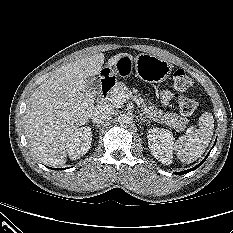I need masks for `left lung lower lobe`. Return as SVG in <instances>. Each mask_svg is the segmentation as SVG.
Listing matches in <instances>:
<instances>
[{
  "mask_svg": "<svg viewBox=\"0 0 233 233\" xmlns=\"http://www.w3.org/2000/svg\"><path fill=\"white\" fill-rule=\"evenodd\" d=\"M209 153H210V152H209ZM209 153L207 154V156L204 158V160H203L200 164L196 165L195 167H193V168H191V169H188V170H185V171H182V172H177V173H175V174H177V175H183V174H186V173H188V172H190V171H193V170L197 169L201 164L204 163V161L207 159Z\"/></svg>",
  "mask_w": 233,
  "mask_h": 233,
  "instance_id": "left-lung-lower-lobe-1",
  "label": "left lung lower lobe"
}]
</instances>
